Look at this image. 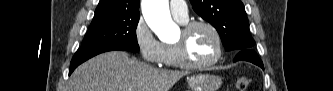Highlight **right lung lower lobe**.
Returning <instances> with one entry per match:
<instances>
[{
  "label": "right lung lower lobe",
  "instance_id": "98d812e1",
  "mask_svg": "<svg viewBox=\"0 0 333 91\" xmlns=\"http://www.w3.org/2000/svg\"><path fill=\"white\" fill-rule=\"evenodd\" d=\"M114 50L125 51V49L123 48L112 47V46L98 47V48H79L71 61L69 75L74 71V69L78 65L88 60L89 58L103 52L114 51Z\"/></svg>",
  "mask_w": 333,
  "mask_h": 91
}]
</instances>
